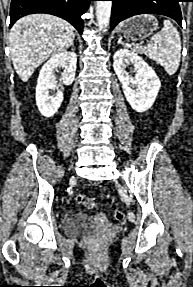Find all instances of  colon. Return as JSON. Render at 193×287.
I'll list each match as a JSON object with an SVG mask.
<instances>
[{"mask_svg":"<svg viewBox=\"0 0 193 287\" xmlns=\"http://www.w3.org/2000/svg\"><path fill=\"white\" fill-rule=\"evenodd\" d=\"M75 201L78 204H83L84 206H86L87 208H93L95 205V200L92 197H86L83 194H77L75 196ZM114 218L117 220H123L124 218V214L121 210H115L114 213Z\"/></svg>","mask_w":193,"mask_h":287,"instance_id":"1","label":"colon"}]
</instances>
